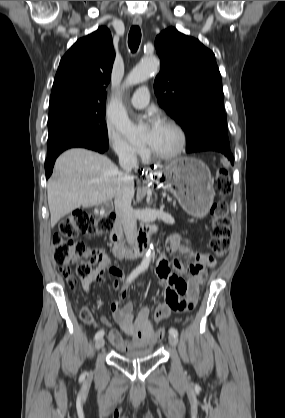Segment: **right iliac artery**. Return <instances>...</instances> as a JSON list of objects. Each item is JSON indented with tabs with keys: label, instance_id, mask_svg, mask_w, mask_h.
Instances as JSON below:
<instances>
[{
	"label": "right iliac artery",
	"instance_id": "right-iliac-artery-1",
	"mask_svg": "<svg viewBox=\"0 0 285 418\" xmlns=\"http://www.w3.org/2000/svg\"><path fill=\"white\" fill-rule=\"evenodd\" d=\"M141 272L140 269H135L134 271H132V273L128 276L127 278V283H131L137 276L138 274ZM104 335V331L103 330H99L96 334H95V340L103 337Z\"/></svg>",
	"mask_w": 285,
	"mask_h": 418
}]
</instances>
